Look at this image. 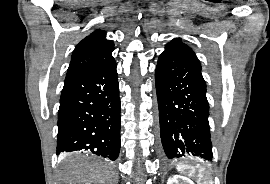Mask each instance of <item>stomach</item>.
I'll return each instance as SVG.
<instances>
[{
  "label": "stomach",
  "mask_w": 270,
  "mask_h": 184,
  "mask_svg": "<svg viewBox=\"0 0 270 184\" xmlns=\"http://www.w3.org/2000/svg\"><path fill=\"white\" fill-rule=\"evenodd\" d=\"M183 166H185V165L180 164V165L177 166V169L179 170V169L183 168Z\"/></svg>",
  "instance_id": "stomach-1"
}]
</instances>
